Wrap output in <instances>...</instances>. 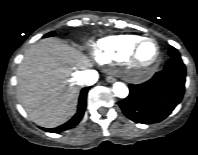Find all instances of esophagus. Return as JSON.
Instances as JSON below:
<instances>
[{
    "label": "esophagus",
    "mask_w": 198,
    "mask_h": 155,
    "mask_svg": "<svg viewBox=\"0 0 198 155\" xmlns=\"http://www.w3.org/2000/svg\"><path fill=\"white\" fill-rule=\"evenodd\" d=\"M115 77L112 75V74H110L108 77H107V82H109V83H113V82H115Z\"/></svg>",
    "instance_id": "obj_1"
}]
</instances>
